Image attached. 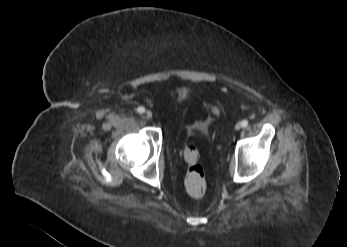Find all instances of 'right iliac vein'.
Instances as JSON below:
<instances>
[{
	"label": "right iliac vein",
	"instance_id": "right-iliac-vein-1",
	"mask_svg": "<svg viewBox=\"0 0 347 247\" xmlns=\"http://www.w3.org/2000/svg\"><path fill=\"white\" fill-rule=\"evenodd\" d=\"M145 115H146V118H148V119L152 118V112L151 111H146Z\"/></svg>",
	"mask_w": 347,
	"mask_h": 247
}]
</instances>
